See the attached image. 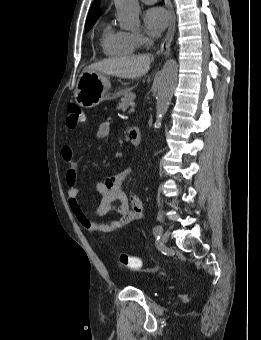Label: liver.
<instances>
[{"instance_id": "obj_1", "label": "liver", "mask_w": 261, "mask_h": 340, "mask_svg": "<svg viewBox=\"0 0 261 340\" xmlns=\"http://www.w3.org/2000/svg\"><path fill=\"white\" fill-rule=\"evenodd\" d=\"M150 62L149 55L108 58L89 65L85 70L133 79L147 74Z\"/></svg>"}]
</instances>
